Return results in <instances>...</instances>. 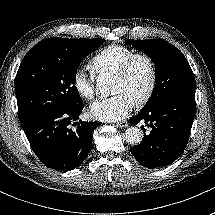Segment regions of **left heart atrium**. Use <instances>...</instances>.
Here are the masks:
<instances>
[{
	"instance_id": "obj_1",
	"label": "left heart atrium",
	"mask_w": 215,
	"mask_h": 215,
	"mask_svg": "<svg viewBox=\"0 0 215 215\" xmlns=\"http://www.w3.org/2000/svg\"><path fill=\"white\" fill-rule=\"evenodd\" d=\"M133 105V101L127 95L119 93L95 101L90 107V115L95 120L115 122L125 118L131 112Z\"/></svg>"
}]
</instances>
